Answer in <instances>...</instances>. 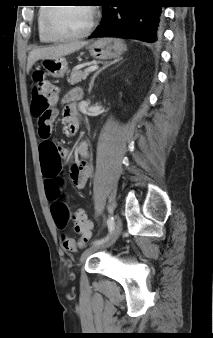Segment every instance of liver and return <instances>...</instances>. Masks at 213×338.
<instances>
[{"label": "liver", "mask_w": 213, "mask_h": 338, "mask_svg": "<svg viewBox=\"0 0 213 338\" xmlns=\"http://www.w3.org/2000/svg\"><path fill=\"white\" fill-rule=\"evenodd\" d=\"M86 44H87L86 41H74L67 44H60L56 46H48L33 49L28 56L27 72L29 73L33 64L40 59L44 58L55 59L66 55H70L80 50Z\"/></svg>", "instance_id": "1"}]
</instances>
